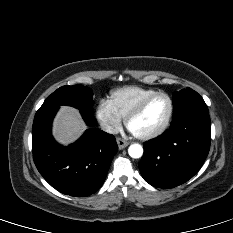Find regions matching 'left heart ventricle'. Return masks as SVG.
I'll return each mask as SVG.
<instances>
[{"instance_id": "1", "label": "left heart ventricle", "mask_w": 233, "mask_h": 233, "mask_svg": "<svg viewBox=\"0 0 233 233\" xmlns=\"http://www.w3.org/2000/svg\"><path fill=\"white\" fill-rule=\"evenodd\" d=\"M168 111V100L163 96L156 97L138 116L131 120L130 130L136 134L151 133L161 127Z\"/></svg>"}]
</instances>
